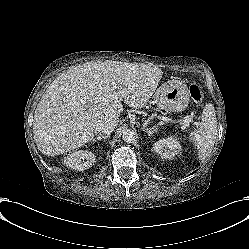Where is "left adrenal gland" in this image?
<instances>
[{
	"label": "left adrenal gland",
	"mask_w": 249,
	"mask_h": 249,
	"mask_svg": "<svg viewBox=\"0 0 249 249\" xmlns=\"http://www.w3.org/2000/svg\"><path fill=\"white\" fill-rule=\"evenodd\" d=\"M156 129H157L156 126H154V127H147L146 124H144L143 127H142V130L145 131V132H147L149 136L152 135V134H154L155 132H157Z\"/></svg>",
	"instance_id": "a2214340"
}]
</instances>
